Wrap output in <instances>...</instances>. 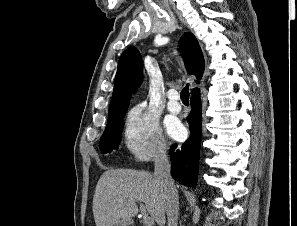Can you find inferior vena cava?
Listing matches in <instances>:
<instances>
[{
    "label": "inferior vena cava",
    "mask_w": 297,
    "mask_h": 226,
    "mask_svg": "<svg viewBox=\"0 0 297 226\" xmlns=\"http://www.w3.org/2000/svg\"><path fill=\"white\" fill-rule=\"evenodd\" d=\"M171 167L168 161L167 150L161 149L154 164V177L164 190L165 211L167 214V226H177L179 213V196L170 173Z\"/></svg>",
    "instance_id": "obj_1"
}]
</instances>
